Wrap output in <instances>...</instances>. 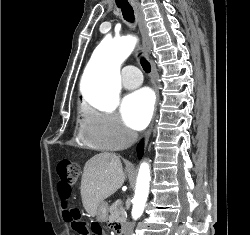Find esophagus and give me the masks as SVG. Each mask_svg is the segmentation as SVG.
Wrapping results in <instances>:
<instances>
[{"mask_svg":"<svg viewBox=\"0 0 250 235\" xmlns=\"http://www.w3.org/2000/svg\"><path fill=\"white\" fill-rule=\"evenodd\" d=\"M134 11H135L136 18L138 20L139 30L141 32L143 51L147 57H150L151 40L149 37V32H148V28L146 25L144 13H143V10H142V7L140 6V4L134 5ZM152 74H153V76L155 75L154 65H152ZM153 83H154V88H155L156 92H158L156 81L154 80ZM152 127H153V123L151 124V126L149 127V129L146 131V133L144 135L145 141H147L148 138L150 137Z\"/></svg>","mask_w":250,"mask_h":235,"instance_id":"esophagus-1","label":"esophagus"}]
</instances>
